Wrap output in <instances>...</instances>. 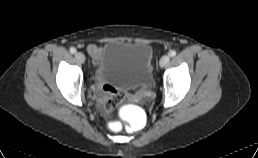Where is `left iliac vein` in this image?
<instances>
[{
	"instance_id": "4c4485c4",
	"label": "left iliac vein",
	"mask_w": 258,
	"mask_h": 158,
	"mask_svg": "<svg viewBox=\"0 0 258 158\" xmlns=\"http://www.w3.org/2000/svg\"><path fill=\"white\" fill-rule=\"evenodd\" d=\"M170 61V56L169 55H163L161 60H160V66L165 67Z\"/></svg>"
}]
</instances>
